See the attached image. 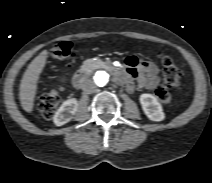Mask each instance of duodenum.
<instances>
[{
	"instance_id": "1",
	"label": "duodenum",
	"mask_w": 212,
	"mask_h": 183,
	"mask_svg": "<svg viewBox=\"0 0 212 183\" xmlns=\"http://www.w3.org/2000/svg\"><path fill=\"white\" fill-rule=\"evenodd\" d=\"M89 73H90V70L87 66H84L80 70H78L76 74L74 75V80H73L75 87L81 88L84 85L87 77L89 76ZM119 73L117 75V78L119 76Z\"/></svg>"
}]
</instances>
